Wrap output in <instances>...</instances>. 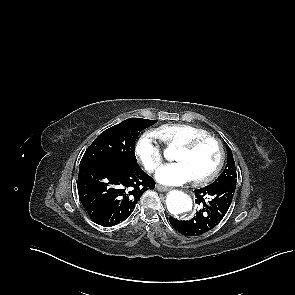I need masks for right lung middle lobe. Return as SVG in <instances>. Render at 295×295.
<instances>
[{
  "label": "right lung middle lobe",
  "mask_w": 295,
  "mask_h": 295,
  "mask_svg": "<svg viewBox=\"0 0 295 295\" xmlns=\"http://www.w3.org/2000/svg\"><path fill=\"white\" fill-rule=\"evenodd\" d=\"M157 120L130 118L103 131L85 151L80 166L116 159L137 162L134 143L139 133Z\"/></svg>",
  "instance_id": "right-lung-middle-lobe-1"
}]
</instances>
